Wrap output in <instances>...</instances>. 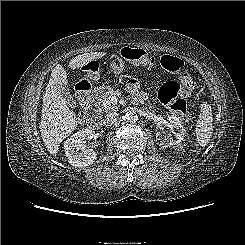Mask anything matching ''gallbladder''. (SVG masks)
Here are the masks:
<instances>
[{"mask_svg": "<svg viewBox=\"0 0 245 245\" xmlns=\"http://www.w3.org/2000/svg\"><path fill=\"white\" fill-rule=\"evenodd\" d=\"M60 93L63 95V98L65 99V101L69 107H71V108L77 107V104H76L73 96L71 95V93L69 92V90L66 87L60 88Z\"/></svg>", "mask_w": 245, "mask_h": 245, "instance_id": "1", "label": "gallbladder"}]
</instances>
